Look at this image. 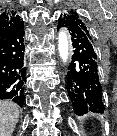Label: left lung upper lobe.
<instances>
[{
	"mask_svg": "<svg viewBox=\"0 0 117 136\" xmlns=\"http://www.w3.org/2000/svg\"><path fill=\"white\" fill-rule=\"evenodd\" d=\"M64 15L70 25L83 30L93 40V35L90 31L87 22L77 12L71 10L68 14Z\"/></svg>",
	"mask_w": 117,
	"mask_h": 136,
	"instance_id": "5c2ea615",
	"label": "left lung upper lobe"
}]
</instances>
